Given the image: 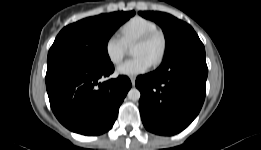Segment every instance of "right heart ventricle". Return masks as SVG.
I'll use <instances>...</instances> for the list:
<instances>
[{
  "mask_svg": "<svg viewBox=\"0 0 261 150\" xmlns=\"http://www.w3.org/2000/svg\"><path fill=\"white\" fill-rule=\"evenodd\" d=\"M158 29V25L148 18L142 16H134L123 23L120 28V36L125 44H133L142 35Z\"/></svg>",
  "mask_w": 261,
  "mask_h": 150,
  "instance_id": "e07e8e85",
  "label": "right heart ventricle"
}]
</instances>
